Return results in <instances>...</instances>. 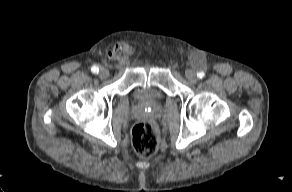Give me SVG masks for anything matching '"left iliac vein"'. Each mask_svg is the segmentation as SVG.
Masks as SVG:
<instances>
[{
    "instance_id": "left-iliac-vein-1",
    "label": "left iliac vein",
    "mask_w": 292,
    "mask_h": 192,
    "mask_svg": "<svg viewBox=\"0 0 292 192\" xmlns=\"http://www.w3.org/2000/svg\"><path fill=\"white\" fill-rule=\"evenodd\" d=\"M185 76L191 83H196L198 80L196 72L190 69L185 72Z\"/></svg>"
}]
</instances>
